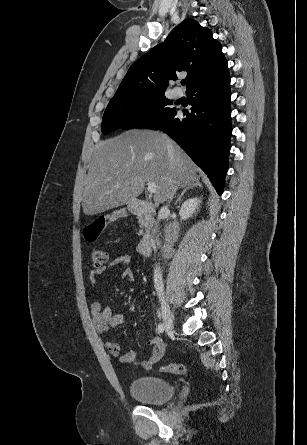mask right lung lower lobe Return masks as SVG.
<instances>
[{
	"label": "right lung lower lobe",
	"mask_w": 307,
	"mask_h": 445,
	"mask_svg": "<svg viewBox=\"0 0 307 445\" xmlns=\"http://www.w3.org/2000/svg\"><path fill=\"white\" fill-rule=\"evenodd\" d=\"M191 112L175 111L152 128L165 131L208 175L222 194L231 137L230 76L227 62L186 91Z\"/></svg>",
	"instance_id": "right-lung-lower-lobe-1"
}]
</instances>
